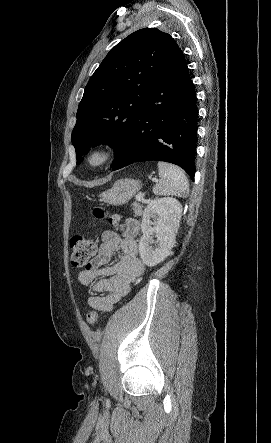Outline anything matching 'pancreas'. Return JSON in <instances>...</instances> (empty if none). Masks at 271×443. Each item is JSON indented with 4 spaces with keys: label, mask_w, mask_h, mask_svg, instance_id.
<instances>
[{
    "label": "pancreas",
    "mask_w": 271,
    "mask_h": 443,
    "mask_svg": "<svg viewBox=\"0 0 271 443\" xmlns=\"http://www.w3.org/2000/svg\"><path fill=\"white\" fill-rule=\"evenodd\" d=\"M135 216H142L143 214V206H140L138 202H133L132 204Z\"/></svg>",
    "instance_id": "obj_1"
}]
</instances>
